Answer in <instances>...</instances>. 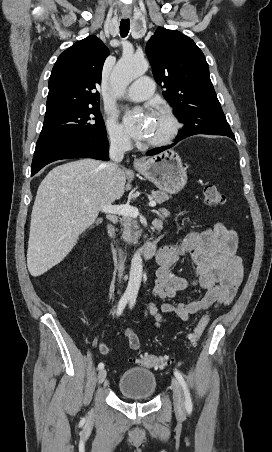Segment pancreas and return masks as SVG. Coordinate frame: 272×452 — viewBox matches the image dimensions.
Masks as SVG:
<instances>
[{
    "label": "pancreas",
    "mask_w": 272,
    "mask_h": 452,
    "mask_svg": "<svg viewBox=\"0 0 272 452\" xmlns=\"http://www.w3.org/2000/svg\"><path fill=\"white\" fill-rule=\"evenodd\" d=\"M151 196L158 204H162L163 202L169 200V198L171 197L166 192L154 190L151 192ZM120 222L123 231L122 238L124 239V241H126L127 243L137 244L142 230L139 228V225L135 218L123 216Z\"/></svg>",
    "instance_id": "cf45deb5"
}]
</instances>
